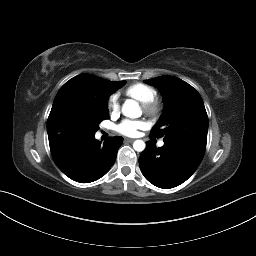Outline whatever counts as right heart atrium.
Listing matches in <instances>:
<instances>
[{"mask_svg": "<svg viewBox=\"0 0 256 256\" xmlns=\"http://www.w3.org/2000/svg\"><path fill=\"white\" fill-rule=\"evenodd\" d=\"M107 109L112 115L117 114V112L119 111V103L115 95H112L108 98Z\"/></svg>", "mask_w": 256, "mask_h": 256, "instance_id": "1", "label": "right heart atrium"}]
</instances>
